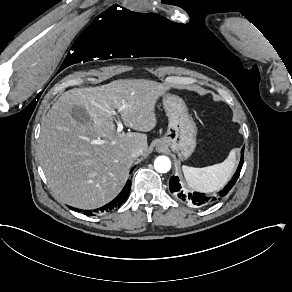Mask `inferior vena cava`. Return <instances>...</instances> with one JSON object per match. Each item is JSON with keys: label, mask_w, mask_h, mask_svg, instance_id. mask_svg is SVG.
<instances>
[{"label": "inferior vena cava", "mask_w": 292, "mask_h": 292, "mask_svg": "<svg viewBox=\"0 0 292 292\" xmlns=\"http://www.w3.org/2000/svg\"><path fill=\"white\" fill-rule=\"evenodd\" d=\"M142 153H143L142 148H135V149L133 150L131 156H132L133 158H135V157H139L140 155H142Z\"/></svg>", "instance_id": "obj_1"}]
</instances>
